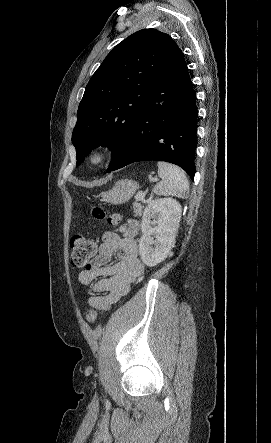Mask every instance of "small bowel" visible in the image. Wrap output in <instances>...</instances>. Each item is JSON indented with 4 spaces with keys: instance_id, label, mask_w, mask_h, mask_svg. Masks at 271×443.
Masks as SVG:
<instances>
[{
    "instance_id": "obj_1",
    "label": "small bowel",
    "mask_w": 271,
    "mask_h": 443,
    "mask_svg": "<svg viewBox=\"0 0 271 443\" xmlns=\"http://www.w3.org/2000/svg\"><path fill=\"white\" fill-rule=\"evenodd\" d=\"M137 230V224L132 222L123 236L113 231L105 232L97 255L79 273L78 279L82 285H92L94 295L89 298L91 308L110 310L142 274L144 266L134 238ZM115 256L118 261L111 264Z\"/></svg>"
}]
</instances>
